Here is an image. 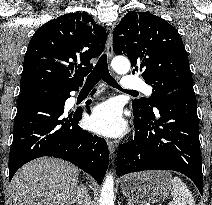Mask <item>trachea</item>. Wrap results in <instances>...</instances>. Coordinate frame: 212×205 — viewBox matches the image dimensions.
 <instances>
[{
  "label": "trachea",
  "mask_w": 212,
  "mask_h": 205,
  "mask_svg": "<svg viewBox=\"0 0 212 205\" xmlns=\"http://www.w3.org/2000/svg\"><path fill=\"white\" fill-rule=\"evenodd\" d=\"M103 80L108 85L117 88L121 91L127 92V93H137L136 91H129V90H123L116 80L110 75L108 70V64H107V55L103 54L93 71L89 74V76L86 79V82L84 84V88H93L100 80Z\"/></svg>",
  "instance_id": "trachea-1"
}]
</instances>
